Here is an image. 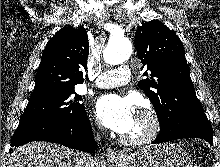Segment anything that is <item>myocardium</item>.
Here are the masks:
<instances>
[{
  "instance_id": "f54148a6",
  "label": "myocardium",
  "mask_w": 220,
  "mask_h": 167,
  "mask_svg": "<svg viewBox=\"0 0 220 167\" xmlns=\"http://www.w3.org/2000/svg\"><path fill=\"white\" fill-rule=\"evenodd\" d=\"M138 114L144 116L147 119L148 126L143 134L137 137L121 136L120 140L126 145L140 146L148 144L156 139L161 130V120L158 113L150 107L142 108L138 111Z\"/></svg>"
}]
</instances>
